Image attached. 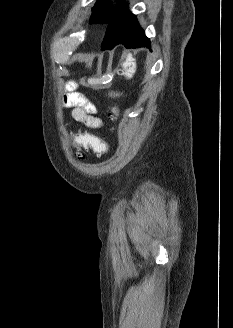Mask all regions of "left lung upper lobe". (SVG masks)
<instances>
[{
  "mask_svg": "<svg viewBox=\"0 0 233 328\" xmlns=\"http://www.w3.org/2000/svg\"><path fill=\"white\" fill-rule=\"evenodd\" d=\"M126 6L127 5L121 1L118 3L117 9L115 10L110 0L98 1L92 10L93 14L90 23L110 24Z\"/></svg>",
  "mask_w": 233,
  "mask_h": 328,
  "instance_id": "5c2ea615",
  "label": "left lung upper lobe"
}]
</instances>
